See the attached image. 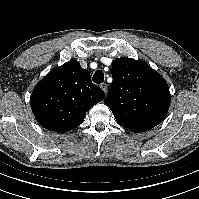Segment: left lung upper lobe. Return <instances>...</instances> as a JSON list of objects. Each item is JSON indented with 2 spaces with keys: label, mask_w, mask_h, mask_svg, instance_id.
<instances>
[{
  "label": "left lung upper lobe",
  "mask_w": 199,
  "mask_h": 199,
  "mask_svg": "<svg viewBox=\"0 0 199 199\" xmlns=\"http://www.w3.org/2000/svg\"><path fill=\"white\" fill-rule=\"evenodd\" d=\"M112 77L105 104L121 126L144 132L162 122L170 106V93L161 75L143 61L120 58L113 62Z\"/></svg>",
  "instance_id": "left-lung-upper-lobe-1"
}]
</instances>
